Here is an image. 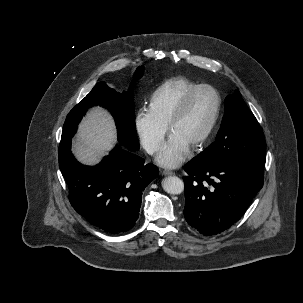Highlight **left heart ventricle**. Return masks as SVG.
I'll return each instance as SVG.
<instances>
[{
    "label": "left heart ventricle",
    "mask_w": 303,
    "mask_h": 303,
    "mask_svg": "<svg viewBox=\"0 0 303 303\" xmlns=\"http://www.w3.org/2000/svg\"><path fill=\"white\" fill-rule=\"evenodd\" d=\"M215 106V94L208 89L200 90L193 97L187 111L171 132L178 134L192 146L209 125Z\"/></svg>",
    "instance_id": "b2bd125f"
}]
</instances>
